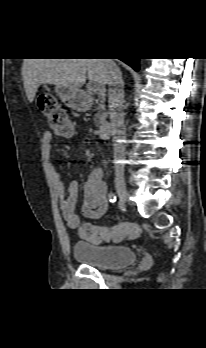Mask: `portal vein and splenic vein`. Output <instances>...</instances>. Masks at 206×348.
<instances>
[{
    "label": "portal vein and splenic vein",
    "instance_id": "1",
    "mask_svg": "<svg viewBox=\"0 0 206 348\" xmlns=\"http://www.w3.org/2000/svg\"><path fill=\"white\" fill-rule=\"evenodd\" d=\"M93 92L98 94V95H102L104 93V88L101 85H94Z\"/></svg>",
    "mask_w": 206,
    "mask_h": 348
}]
</instances>
